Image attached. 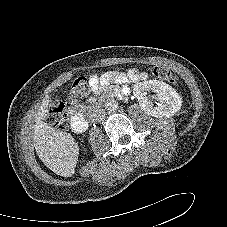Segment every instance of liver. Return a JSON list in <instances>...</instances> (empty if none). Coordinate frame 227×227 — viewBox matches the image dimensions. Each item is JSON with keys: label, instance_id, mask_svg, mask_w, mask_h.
<instances>
[{"label": "liver", "instance_id": "1", "mask_svg": "<svg viewBox=\"0 0 227 227\" xmlns=\"http://www.w3.org/2000/svg\"><path fill=\"white\" fill-rule=\"evenodd\" d=\"M50 97L42 100L35 115L33 141L44 165L57 175L70 177L75 172L79 148L74 138L44 122L49 113Z\"/></svg>", "mask_w": 227, "mask_h": 227}]
</instances>
